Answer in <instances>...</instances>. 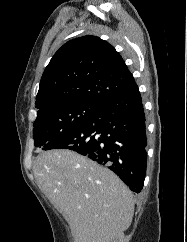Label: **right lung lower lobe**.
Here are the masks:
<instances>
[{
    "instance_id": "obj_1",
    "label": "right lung lower lobe",
    "mask_w": 187,
    "mask_h": 242,
    "mask_svg": "<svg viewBox=\"0 0 187 242\" xmlns=\"http://www.w3.org/2000/svg\"><path fill=\"white\" fill-rule=\"evenodd\" d=\"M145 114L138 88L101 105L79 127L45 150L70 149L108 167L139 193L146 173Z\"/></svg>"
}]
</instances>
